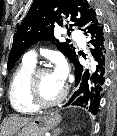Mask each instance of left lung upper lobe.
<instances>
[{
  "label": "left lung upper lobe",
  "mask_w": 117,
  "mask_h": 136,
  "mask_svg": "<svg viewBox=\"0 0 117 136\" xmlns=\"http://www.w3.org/2000/svg\"><path fill=\"white\" fill-rule=\"evenodd\" d=\"M74 22L80 30L89 32L100 24L96 12L85 0H34L28 14L14 35L12 49L8 58L10 70L24 51L41 40H56L54 28L63 25V18ZM72 24L67 26L68 34ZM57 48L71 61L76 53L69 43H57Z\"/></svg>",
  "instance_id": "left-lung-upper-lobe-1"
}]
</instances>
